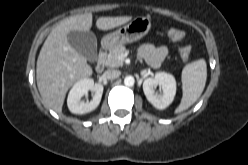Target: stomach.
Instances as JSON below:
<instances>
[{
    "mask_svg": "<svg viewBox=\"0 0 248 165\" xmlns=\"http://www.w3.org/2000/svg\"><path fill=\"white\" fill-rule=\"evenodd\" d=\"M151 28V19L139 16L116 31L103 37L102 43L105 47L135 42L144 37Z\"/></svg>",
    "mask_w": 248,
    "mask_h": 165,
    "instance_id": "0dacf381",
    "label": "stomach"
}]
</instances>
